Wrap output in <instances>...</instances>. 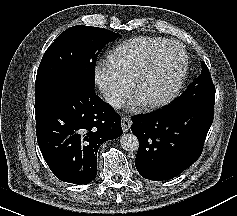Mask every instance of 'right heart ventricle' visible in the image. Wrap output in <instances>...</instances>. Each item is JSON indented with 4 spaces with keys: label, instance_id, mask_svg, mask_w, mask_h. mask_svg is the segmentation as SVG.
Wrapping results in <instances>:
<instances>
[{
    "label": "right heart ventricle",
    "instance_id": "1",
    "mask_svg": "<svg viewBox=\"0 0 237 216\" xmlns=\"http://www.w3.org/2000/svg\"><path fill=\"white\" fill-rule=\"evenodd\" d=\"M170 40H152L149 36L120 43L107 59V71L116 78L123 79L143 70V61L152 51L162 53L170 48Z\"/></svg>",
    "mask_w": 237,
    "mask_h": 216
}]
</instances>
